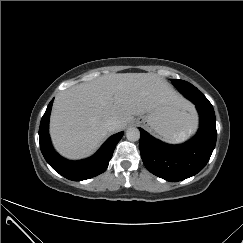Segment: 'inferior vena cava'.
<instances>
[{
    "label": "inferior vena cava",
    "instance_id": "obj_1",
    "mask_svg": "<svg viewBox=\"0 0 243 243\" xmlns=\"http://www.w3.org/2000/svg\"><path fill=\"white\" fill-rule=\"evenodd\" d=\"M106 127L109 131H115L119 127V120L116 118H110L106 121Z\"/></svg>",
    "mask_w": 243,
    "mask_h": 243
}]
</instances>
